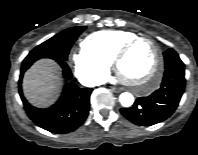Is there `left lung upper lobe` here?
Masks as SVG:
<instances>
[{
  "instance_id": "5c2ea615",
  "label": "left lung upper lobe",
  "mask_w": 198,
  "mask_h": 155,
  "mask_svg": "<svg viewBox=\"0 0 198 155\" xmlns=\"http://www.w3.org/2000/svg\"><path fill=\"white\" fill-rule=\"evenodd\" d=\"M164 58H165V69L176 64L184 65V63L179 58V55L171 48L164 52Z\"/></svg>"
}]
</instances>
